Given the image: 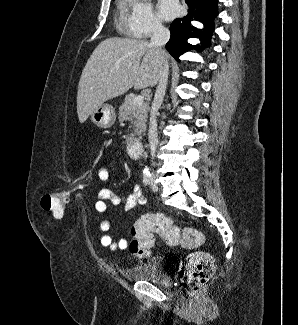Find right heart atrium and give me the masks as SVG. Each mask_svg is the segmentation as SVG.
<instances>
[{
    "label": "right heart atrium",
    "mask_w": 298,
    "mask_h": 325,
    "mask_svg": "<svg viewBox=\"0 0 298 325\" xmlns=\"http://www.w3.org/2000/svg\"><path fill=\"white\" fill-rule=\"evenodd\" d=\"M130 24L126 25V37L133 41H146L149 30H162L163 26L149 0H134L130 5Z\"/></svg>",
    "instance_id": "1"
}]
</instances>
